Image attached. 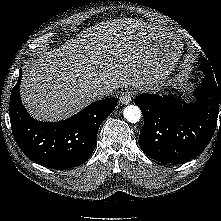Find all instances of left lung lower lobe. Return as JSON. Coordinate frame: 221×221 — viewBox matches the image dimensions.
Returning <instances> with one entry per match:
<instances>
[{
  "instance_id": "1",
  "label": "left lung lower lobe",
  "mask_w": 221,
  "mask_h": 221,
  "mask_svg": "<svg viewBox=\"0 0 221 221\" xmlns=\"http://www.w3.org/2000/svg\"><path fill=\"white\" fill-rule=\"evenodd\" d=\"M195 95L192 104L175 96L141 94L135 98L144 117L139 145L146 155L163 163L182 164L202 153L219 122L221 84L206 75Z\"/></svg>"
}]
</instances>
